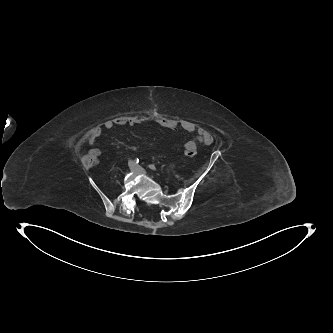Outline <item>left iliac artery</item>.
<instances>
[{"label": "left iliac artery", "mask_w": 333, "mask_h": 333, "mask_svg": "<svg viewBox=\"0 0 333 333\" xmlns=\"http://www.w3.org/2000/svg\"><path fill=\"white\" fill-rule=\"evenodd\" d=\"M149 168L152 169V170H154V171L156 170V167L153 164H150Z\"/></svg>", "instance_id": "obj_1"}]
</instances>
